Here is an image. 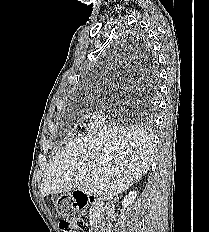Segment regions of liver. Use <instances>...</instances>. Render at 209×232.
Masks as SVG:
<instances>
[{
    "mask_svg": "<svg viewBox=\"0 0 209 232\" xmlns=\"http://www.w3.org/2000/svg\"><path fill=\"white\" fill-rule=\"evenodd\" d=\"M153 138L143 128L108 126L71 141L44 174L42 197L80 189L111 199L150 168Z\"/></svg>",
    "mask_w": 209,
    "mask_h": 232,
    "instance_id": "liver-1",
    "label": "liver"
}]
</instances>
